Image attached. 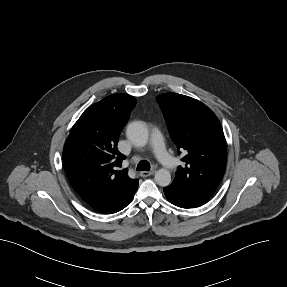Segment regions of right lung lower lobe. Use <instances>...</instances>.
I'll list each match as a JSON object with an SVG mask.
<instances>
[{
	"label": "right lung lower lobe",
	"mask_w": 287,
	"mask_h": 287,
	"mask_svg": "<svg viewBox=\"0 0 287 287\" xmlns=\"http://www.w3.org/2000/svg\"><path fill=\"white\" fill-rule=\"evenodd\" d=\"M137 187L138 183L129 189L115 191L86 203L99 213L113 214L124 209L133 200Z\"/></svg>",
	"instance_id": "obj_1"
}]
</instances>
